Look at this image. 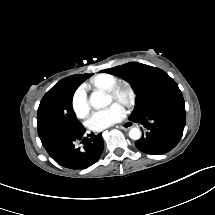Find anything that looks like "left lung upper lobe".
I'll use <instances>...</instances> for the list:
<instances>
[{
  "label": "left lung upper lobe",
  "mask_w": 215,
  "mask_h": 215,
  "mask_svg": "<svg viewBox=\"0 0 215 215\" xmlns=\"http://www.w3.org/2000/svg\"><path fill=\"white\" fill-rule=\"evenodd\" d=\"M126 77L136 89L137 105L129 120L141 122L146 134L135 146L147 154H162L180 141L185 126L184 99L176 82L163 70L129 63L103 70Z\"/></svg>",
  "instance_id": "1"
}]
</instances>
